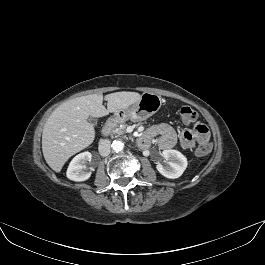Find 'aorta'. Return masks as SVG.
I'll return each instance as SVG.
<instances>
[{
  "label": "aorta",
  "instance_id": "obj_1",
  "mask_svg": "<svg viewBox=\"0 0 265 265\" xmlns=\"http://www.w3.org/2000/svg\"><path fill=\"white\" fill-rule=\"evenodd\" d=\"M124 148V143L122 141H119V140H114L113 143H112V149L115 151V152H120L122 151Z\"/></svg>",
  "mask_w": 265,
  "mask_h": 265
}]
</instances>
